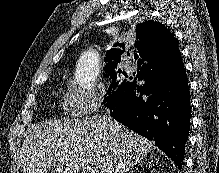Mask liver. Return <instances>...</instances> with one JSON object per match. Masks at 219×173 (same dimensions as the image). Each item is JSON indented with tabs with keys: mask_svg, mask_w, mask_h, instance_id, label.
Segmentation results:
<instances>
[{
	"mask_svg": "<svg viewBox=\"0 0 219 173\" xmlns=\"http://www.w3.org/2000/svg\"><path fill=\"white\" fill-rule=\"evenodd\" d=\"M106 115L34 126L20 151L23 173H127L153 149ZM57 165L55 167V163ZM54 166V170H53Z\"/></svg>",
	"mask_w": 219,
	"mask_h": 173,
	"instance_id": "liver-1",
	"label": "liver"
}]
</instances>
